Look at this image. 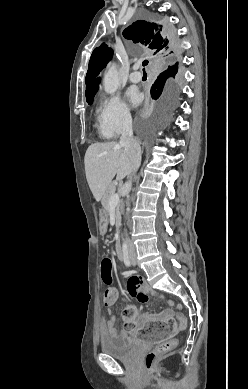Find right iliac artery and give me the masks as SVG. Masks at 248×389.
Instances as JSON below:
<instances>
[{"mask_svg": "<svg viewBox=\"0 0 248 389\" xmlns=\"http://www.w3.org/2000/svg\"><path fill=\"white\" fill-rule=\"evenodd\" d=\"M123 260H124V263L126 266L129 267L131 265V262H130V259H129V256L127 253L124 254Z\"/></svg>", "mask_w": 248, "mask_h": 389, "instance_id": "82829eb1", "label": "right iliac artery"}]
</instances>
